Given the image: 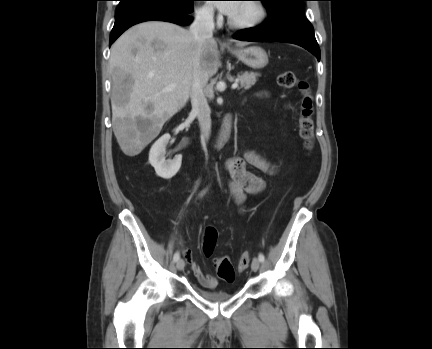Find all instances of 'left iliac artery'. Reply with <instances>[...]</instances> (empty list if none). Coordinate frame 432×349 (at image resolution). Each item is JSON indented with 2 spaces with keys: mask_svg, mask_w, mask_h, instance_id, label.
<instances>
[{
  "mask_svg": "<svg viewBox=\"0 0 432 349\" xmlns=\"http://www.w3.org/2000/svg\"><path fill=\"white\" fill-rule=\"evenodd\" d=\"M258 259H259L260 262H264L265 257H264V255L262 253H260L259 256H258Z\"/></svg>",
  "mask_w": 432,
  "mask_h": 349,
  "instance_id": "left-iliac-artery-1",
  "label": "left iliac artery"
}]
</instances>
